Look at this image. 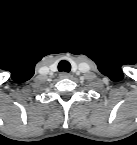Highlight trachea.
I'll use <instances>...</instances> for the list:
<instances>
[{"instance_id": "obj_1", "label": "trachea", "mask_w": 137, "mask_h": 145, "mask_svg": "<svg viewBox=\"0 0 137 145\" xmlns=\"http://www.w3.org/2000/svg\"><path fill=\"white\" fill-rule=\"evenodd\" d=\"M58 70L60 72H69L71 70V65L68 61L62 60L58 64Z\"/></svg>"}]
</instances>
